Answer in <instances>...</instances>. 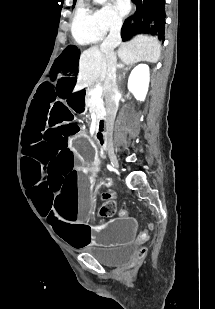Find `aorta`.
I'll return each mask as SVG.
<instances>
[{"label": "aorta", "mask_w": 215, "mask_h": 309, "mask_svg": "<svg viewBox=\"0 0 215 309\" xmlns=\"http://www.w3.org/2000/svg\"><path fill=\"white\" fill-rule=\"evenodd\" d=\"M93 2H95V4H104L106 0H93Z\"/></svg>", "instance_id": "aorta-1"}]
</instances>
